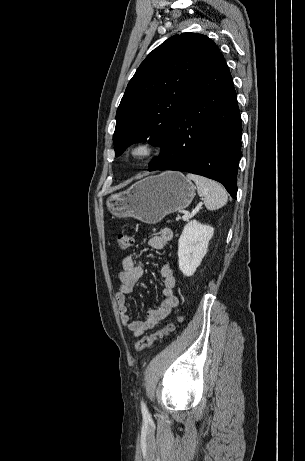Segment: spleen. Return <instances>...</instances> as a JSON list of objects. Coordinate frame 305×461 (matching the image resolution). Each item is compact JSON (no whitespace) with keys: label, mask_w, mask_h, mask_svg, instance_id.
Wrapping results in <instances>:
<instances>
[{"label":"spleen","mask_w":305,"mask_h":461,"mask_svg":"<svg viewBox=\"0 0 305 461\" xmlns=\"http://www.w3.org/2000/svg\"><path fill=\"white\" fill-rule=\"evenodd\" d=\"M187 179L195 182L208 210L219 209L227 203V192L219 183L196 174H187Z\"/></svg>","instance_id":"1"}]
</instances>
